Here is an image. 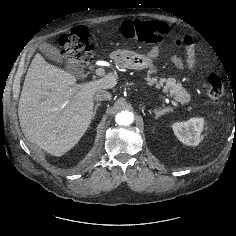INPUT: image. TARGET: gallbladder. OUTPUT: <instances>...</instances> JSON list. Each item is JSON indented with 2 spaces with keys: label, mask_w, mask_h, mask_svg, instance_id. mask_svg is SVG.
Here are the masks:
<instances>
[{
  "label": "gallbladder",
  "mask_w": 236,
  "mask_h": 236,
  "mask_svg": "<svg viewBox=\"0 0 236 236\" xmlns=\"http://www.w3.org/2000/svg\"><path fill=\"white\" fill-rule=\"evenodd\" d=\"M39 50L49 60H51L57 64H64L65 63L64 58L61 55L59 49L57 47L53 46L52 44L44 42L40 45ZM66 69L69 73H71L72 75H74L76 77H80L83 74L82 69L77 65L69 64L66 66Z\"/></svg>",
  "instance_id": "obj_1"
}]
</instances>
